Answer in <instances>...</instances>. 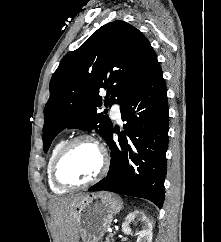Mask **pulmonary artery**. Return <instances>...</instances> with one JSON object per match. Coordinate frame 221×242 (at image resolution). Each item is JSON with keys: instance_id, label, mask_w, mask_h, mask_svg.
I'll list each match as a JSON object with an SVG mask.
<instances>
[{"instance_id": "e3ab8cb5", "label": "pulmonary artery", "mask_w": 221, "mask_h": 242, "mask_svg": "<svg viewBox=\"0 0 221 242\" xmlns=\"http://www.w3.org/2000/svg\"><path fill=\"white\" fill-rule=\"evenodd\" d=\"M111 116L112 118L116 119L117 121H120L121 119V113H120V106L117 104H114L111 108Z\"/></svg>"}]
</instances>
